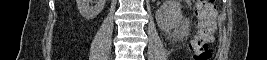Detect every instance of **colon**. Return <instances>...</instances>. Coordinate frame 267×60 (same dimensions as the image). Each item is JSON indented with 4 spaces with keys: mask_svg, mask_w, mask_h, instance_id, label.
Instances as JSON below:
<instances>
[{
    "mask_svg": "<svg viewBox=\"0 0 267 60\" xmlns=\"http://www.w3.org/2000/svg\"><path fill=\"white\" fill-rule=\"evenodd\" d=\"M216 0H199L196 2L198 30L190 41L193 59L208 60L212 56L210 33L216 16Z\"/></svg>",
    "mask_w": 267,
    "mask_h": 60,
    "instance_id": "colon-1",
    "label": "colon"
}]
</instances>
